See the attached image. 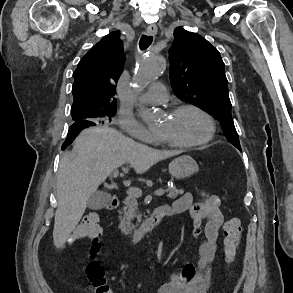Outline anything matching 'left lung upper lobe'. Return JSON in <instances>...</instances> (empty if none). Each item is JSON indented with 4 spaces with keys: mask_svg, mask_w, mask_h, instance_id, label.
Listing matches in <instances>:
<instances>
[{
    "mask_svg": "<svg viewBox=\"0 0 293 293\" xmlns=\"http://www.w3.org/2000/svg\"><path fill=\"white\" fill-rule=\"evenodd\" d=\"M169 59L174 93L220 121L227 139L241 149L231 115L225 64L218 50L200 35L178 27Z\"/></svg>",
    "mask_w": 293,
    "mask_h": 293,
    "instance_id": "5c2ea615",
    "label": "left lung upper lobe"
}]
</instances>
